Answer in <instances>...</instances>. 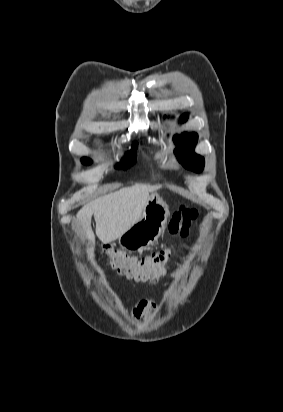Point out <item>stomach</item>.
<instances>
[{"instance_id":"1","label":"stomach","mask_w":283,"mask_h":412,"mask_svg":"<svg viewBox=\"0 0 283 412\" xmlns=\"http://www.w3.org/2000/svg\"><path fill=\"white\" fill-rule=\"evenodd\" d=\"M168 216V205L158 194H152L140 220L118 238L120 246L126 250L139 251L152 245L164 231Z\"/></svg>"}]
</instances>
